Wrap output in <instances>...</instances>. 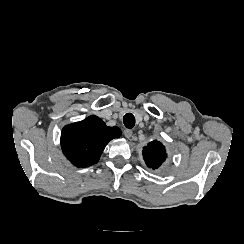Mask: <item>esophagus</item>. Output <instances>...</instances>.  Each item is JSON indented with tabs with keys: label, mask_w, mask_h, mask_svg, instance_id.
<instances>
[{
	"label": "esophagus",
	"mask_w": 244,
	"mask_h": 244,
	"mask_svg": "<svg viewBox=\"0 0 244 244\" xmlns=\"http://www.w3.org/2000/svg\"><path fill=\"white\" fill-rule=\"evenodd\" d=\"M132 134H133V132H132L131 129H125V130H124V136H125L126 138L129 139V138L132 136Z\"/></svg>",
	"instance_id": "esophagus-1"
}]
</instances>
